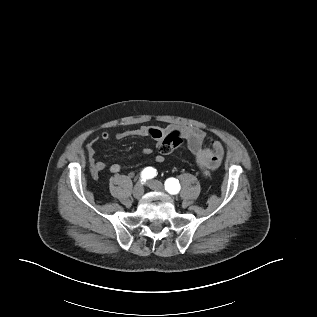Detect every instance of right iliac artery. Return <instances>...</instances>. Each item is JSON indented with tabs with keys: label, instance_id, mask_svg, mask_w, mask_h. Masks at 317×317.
Segmentation results:
<instances>
[{
	"label": "right iliac artery",
	"instance_id": "right-iliac-artery-1",
	"mask_svg": "<svg viewBox=\"0 0 317 317\" xmlns=\"http://www.w3.org/2000/svg\"><path fill=\"white\" fill-rule=\"evenodd\" d=\"M157 175L156 173V169H154L153 167H146L140 175V181L143 184L144 182H146V180L154 178Z\"/></svg>",
	"mask_w": 317,
	"mask_h": 317
}]
</instances>
